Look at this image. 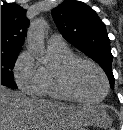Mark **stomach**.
<instances>
[{
	"label": "stomach",
	"mask_w": 123,
	"mask_h": 130,
	"mask_svg": "<svg viewBox=\"0 0 123 130\" xmlns=\"http://www.w3.org/2000/svg\"><path fill=\"white\" fill-rule=\"evenodd\" d=\"M71 130H87L85 126H74Z\"/></svg>",
	"instance_id": "0dacf381"
}]
</instances>
